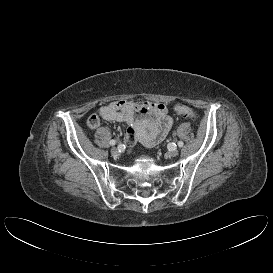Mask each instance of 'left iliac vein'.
<instances>
[{
  "mask_svg": "<svg viewBox=\"0 0 273 273\" xmlns=\"http://www.w3.org/2000/svg\"><path fill=\"white\" fill-rule=\"evenodd\" d=\"M178 153H179V151L177 149H172L167 153V155L169 157H176L178 155Z\"/></svg>",
  "mask_w": 273,
  "mask_h": 273,
  "instance_id": "1",
  "label": "left iliac vein"
}]
</instances>
